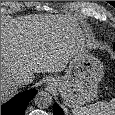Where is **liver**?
Listing matches in <instances>:
<instances>
[{"instance_id":"liver-1","label":"liver","mask_w":115,"mask_h":115,"mask_svg":"<svg viewBox=\"0 0 115 115\" xmlns=\"http://www.w3.org/2000/svg\"><path fill=\"white\" fill-rule=\"evenodd\" d=\"M84 43L82 30L70 19L27 15L1 23V103L14 96L17 77L63 71Z\"/></svg>"}]
</instances>
